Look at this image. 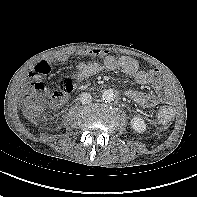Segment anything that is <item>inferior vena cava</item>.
I'll list each match as a JSON object with an SVG mask.
<instances>
[{
    "label": "inferior vena cava",
    "instance_id": "obj_1",
    "mask_svg": "<svg viewBox=\"0 0 197 197\" xmlns=\"http://www.w3.org/2000/svg\"><path fill=\"white\" fill-rule=\"evenodd\" d=\"M80 102L82 104H89L92 102V96L89 93H82L80 95Z\"/></svg>",
    "mask_w": 197,
    "mask_h": 197
}]
</instances>
